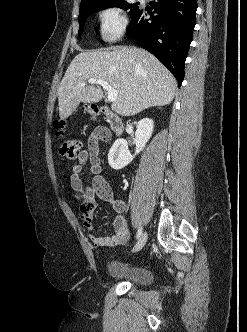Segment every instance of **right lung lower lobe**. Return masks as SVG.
I'll return each mask as SVG.
<instances>
[{
    "label": "right lung lower lobe",
    "instance_id": "right-lung-lower-lobe-1",
    "mask_svg": "<svg viewBox=\"0 0 247 332\" xmlns=\"http://www.w3.org/2000/svg\"><path fill=\"white\" fill-rule=\"evenodd\" d=\"M150 5L157 15L147 19L148 11L139 8L131 17L126 35L155 55L177 78L180 86L196 24L197 0H157Z\"/></svg>",
    "mask_w": 247,
    "mask_h": 332
}]
</instances>
